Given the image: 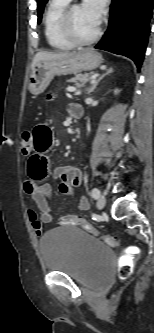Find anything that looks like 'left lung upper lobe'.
<instances>
[{
  "mask_svg": "<svg viewBox=\"0 0 154 333\" xmlns=\"http://www.w3.org/2000/svg\"><path fill=\"white\" fill-rule=\"evenodd\" d=\"M48 0H37V11H38V23L41 22L42 13L44 10V6Z\"/></svg>",
  "mask_w": 154,
  "mask_h": 333,
  "instance_id": "5c2ea615",
  "label": "left lung upper lobe"
}]
</instances>
